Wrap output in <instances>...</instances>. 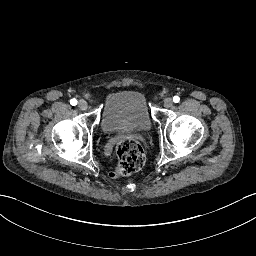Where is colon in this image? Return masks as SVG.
Listing matches in <instances>:
<instances>
[{"mask_svg": "<svg viewBox=\"0 0 256 256\" xmlns=\"http://www.w3.org/2000/svg\"><path fill=\"white\" fill-rule=\"evenodd\" d=\"M118 163L114 170L108 173L110 178L130 175L141 169L145 163V155L141 145L132 138L121 140L117 145Z\"/></svg>", "mask_w": 256, "mask_h": 256, "instance_id": "5ec220e1", "label": "colon"}]
</instances>
